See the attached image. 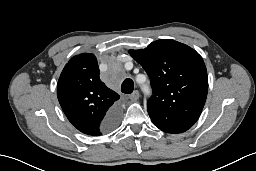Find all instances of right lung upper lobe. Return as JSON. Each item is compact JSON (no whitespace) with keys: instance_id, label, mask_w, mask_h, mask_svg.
Masks as SVG:
<instances>
[{"instance_id":"obj_1","label":"right lung upper lobe","mask_w":256,"mask_h":171,"mask_svg":"<svg viewBox=\"0 0 256 171\" xmlns=\"http://www.w3.org/2000/svg\"><path fill=\"white\" fill-rule=\"evenodd\" d=\"M57 97L75 128L97 136L107 131L103 122L120 96L100 80L96 57L82 53L65 65L58 80Z\"/></svg>"}]
</instances>
